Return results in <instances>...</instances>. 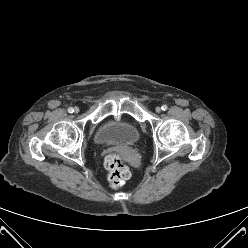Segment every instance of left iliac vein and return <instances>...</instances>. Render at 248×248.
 Wrapping results in <instances>:
<instances>
[{"label":"left iliac vein","mask_w":248,"mask_h":248,"mask_svg":"<svg viewBox=\"0 0 248 248\" xmlns=\"http://www.w3.org/2000/svg\"><path fill=\"white\" fill-rule=\"evenodd\" d=\"M155 111H156L157 113H160V112H161V108H160V107H156Z\"/></svg>","instance_id":"left-iliac-vein-1"}]
</instances>
